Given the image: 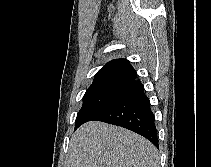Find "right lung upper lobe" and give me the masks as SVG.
I'll use <instances>...</instances> for the list:
<instances>
[{
    "mask_svg": "<svg viewBox=\"0 0 211 167\" xmlns=\"http://www.w3.org/2000/svg\"><path fill=\"white\" fill-rule=\"evenodd\" d=\"M137 72L127 59H114L105 64L95 75L94 81L136 79Z\"/></svg>",
    "mask_w": 211,
    "mask_h": 167,
    "instance_id": "right-lung-upper-lobe-1",
    "label": "right lung upper lobe"
}]
</instances>
